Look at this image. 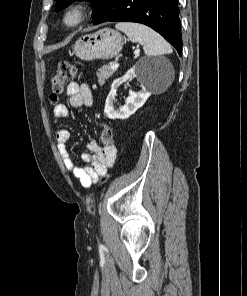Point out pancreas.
<instances>
[{
  "mask_svg": "<svg viewBox=\"0 0 247 296\" xmlns=\"http://www.w3.org/2000/svg\"><path fill=\"white\" fill-rule=\"evenodd\" d=\"M116 70H117V68L111 69L110 65L102 66L96 73V75L98 77L99 84L103 85L105 83V81L116 72Z\"/></svg>",
  "mask_w": 247,
  "mask_h": 296,
  "instance_id": "pancreas-1",
  "label": "pancreas"
}]
</instances>
